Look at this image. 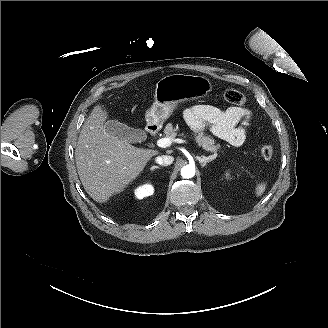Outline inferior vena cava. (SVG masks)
I'll return each mask as SVG.
<instances>
[{
  "mask_svg": "<svg viewBox=\"0 0 328 328\" xmlns=\"http://www.w3.org/2000/svg\"><path fill=\"white\" fill-rule=\"evenodd\" d=\"M173 161H174V158L169 155H162V156H158L156 158V163H158L162 166H168V165L172 164Z\"/></svg>",
  "mask_w": 328,
  "mask_h": 328,
  "instance_id": "602c4592",
  "label": "inferior vena cava"
}]
</instances>
